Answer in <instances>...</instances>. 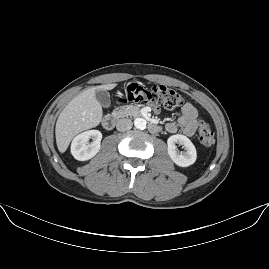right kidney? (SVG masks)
Listing matches in <instances>:
<instances>
[{
	"mask_svg": "<svg viewBox=\"0 0 269 269\" xmlns=\"http://www.w3.org/2000/svg\"><path fill=\"white\" fill-rule=\"evenodd\" d=\"M92 138L93 142L88 143ZM102 134L98 130H88L77 135L71 144V154L76 160L86 161L93 158L101 148Z\"/></svg>",
	"mask_w": 269,
	"mask_h": 269,
	"instance_id": "right-kidney-1",
	"label": "right kidney"
}]
</instances>
